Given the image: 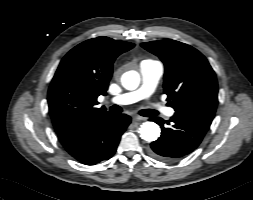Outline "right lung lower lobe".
Returning a JSON list of instances; mask_svg holds the SVG:
<instances>
[{"label": "right lung lower lobe", "instance_id": "98d812e1", "mask_svg": "<svg viewBox=\"0 0 253 200\" xmlns=\"http://www.w3.org/2000/svg\"><path fill=\"white\" fill-rule=\"evenodd\" d=\"M130 122L131 118L125 114H108L96 122L59 135V140L75 159L94 165L112 157Z\"/></svg>", "mask_w": 253, "mask_h": 200}]
</instances>
